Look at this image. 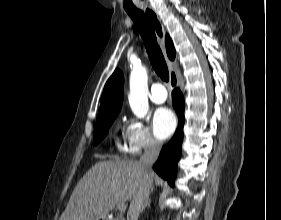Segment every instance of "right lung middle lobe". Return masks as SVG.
I'll list each match as a JSON object with an SVG mask.
<instances>
[{"label":"right lung middle lobe","instance_id":"right-lung-middle-lobe-1","mask_svg":"<svg viewBox=\"0 0 281 220\" xmlns=\"http://www.w3.org/2000/svg\"><path fill=\"white\" fill-rule=\"evenodd\" d=\"M116 117L117 115H112L97 119L93 138V143L95 145L98 144L107 134L108 128L111 126Z\"/></svg>","mask_w":281,"mask_h":220}]
</instances>
